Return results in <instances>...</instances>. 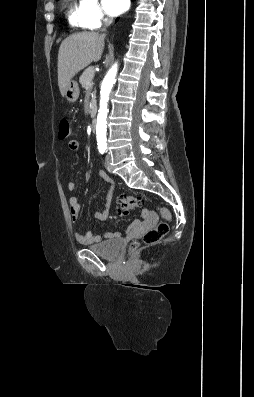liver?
Returning <instances> with one entry per match:
<instances>
[{"mask_svg": "<svg viewBox=\"0 0 254 397\" xmlns=\"http://www.w3.org/2000/svg\"><path fill=\"white\" fill-rule=\"evenodd\" d=\"M104 38L96 32H82L64 39L58 52V85L62 96L71 79L82 69L101 59Z\"/></svg>", "mask_w": 254, "mask_h": 397, "instance_id": "liver-1", "label": "liver"}]
</instances>
